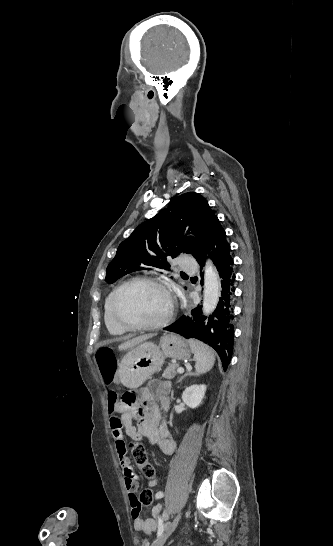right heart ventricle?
<instances>
[{"mask_svg": "<svg viewBox=\"0 0 333 546\" xmlns=\"http://www.w3.org/2000/svg\"><path fill=\"white\" fill-rule=\"evenodd\" d=\"M115 290L116 288L109 292V294L105 298L103 306V318L108 332L113 336H121L126 333V330L116 324L111 313V302Z\"/></svg>", "mask_w": 333, "mask_h": 546, "instance_id": "right-heart-ventricle-1", "label": "right heart ventricle"}]
</instances>
